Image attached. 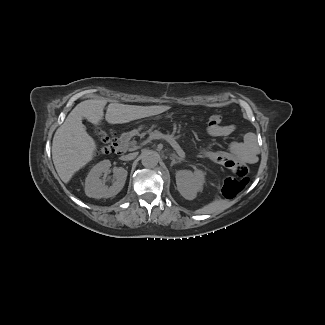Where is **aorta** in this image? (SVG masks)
<instances>
[{
  "label": "aorta",
  "instance_id": "1",
  "mask_svg": "<svg viewBox=\"0 0 325 325\" xmlns=\"http://www.w3.org/2000/svg\"><path fill=\"white\" fill-rule=\"evenodd\" d=\"M159 161V155L151 150L144 151L141 154V163L146 168H154Z\"/></svg>",
  "mask_w": 325,
  "mask_h": 325
}]
</instances>
